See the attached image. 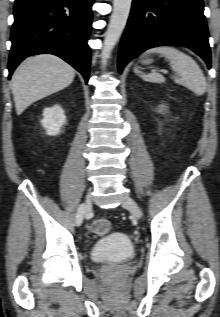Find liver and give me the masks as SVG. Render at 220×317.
Wrapping results in <instances>:
<instances>
[{"label":"liver","instance_id":"liver-1","mask_svg":"<svg viewBox=\"0 0 220 317\" xmlns=\"http://www.w3.org/2000/svg\"><path fill=\"white\" fill-rule=\"evenodd\" d=\"M74 77L75 69L55 55L40 54L26 59L11 80L17 115L32 103L66 88Z\"/></svg>","mask_w":220,"mask_h":317}]
</instances>
